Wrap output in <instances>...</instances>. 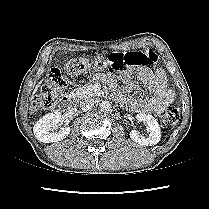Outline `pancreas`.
Segmentation results:
<instances>
[{"mask_svg":"<svg viewBox=\"0 0 209 209\" xmlns=\"http://www.w3.org/2000/svg\"><path fill=\"white\" fill-rule=\"evenodd\" d=\"M77 99H82L84 97H95L103 94L102 91L96 89L93 84H85L74 90Z\"/></svg>","mask_w":209,"mask_h":209,"instance_id":"pancreas-1","label":"pancreas"}]
</instances>
